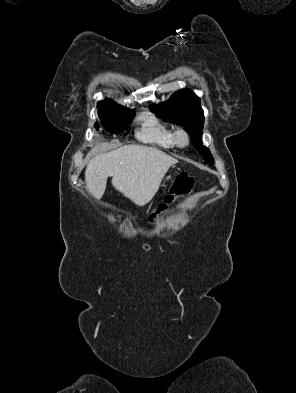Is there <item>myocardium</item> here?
<instances>
[{"label":"myocardium","mask_w":296,"mask_h":393,"mask_svg":"<svg viewBox=\"0 0 296 393\" xmlns=\"http://www.w3.org/2000/svg\"><path fill=\"white\" fill-rule=\"evenodd\" d=\"M174 140L179 147H185L190 143V135L184 128H179L174 132Z\"/></svg>","instance_id":"obj_1"}]
</instances>
